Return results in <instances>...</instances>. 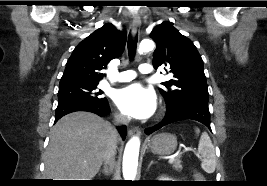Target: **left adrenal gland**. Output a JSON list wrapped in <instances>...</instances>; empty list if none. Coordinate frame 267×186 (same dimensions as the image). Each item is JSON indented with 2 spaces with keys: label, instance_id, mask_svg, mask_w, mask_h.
<instances>
[{
  "label": "left adrenal gland",
  "instance_id": "1",
  "mask_svg": "<svg viewBox=\"0 0 267 186\" xmlns=\"http://www.w3.org/2000/svg\"><path fill=\"white\" fill-rule=\"evenodd\" d=\"M154 163V161H151L148 165V169L150 168V166Z\"/></svg>",
  "mask_w": 267,
  "mask_h": 186
}]
</instances>
